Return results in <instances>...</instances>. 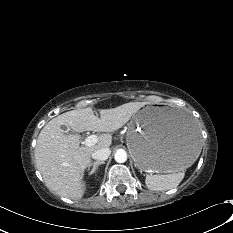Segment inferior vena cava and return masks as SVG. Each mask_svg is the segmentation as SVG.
I'll use <instances>...</instances> for the list:
<instances>
[{
    "instance_id": "obj_1",
    "label": "inferior vena cava",
    "mask_w": 233,
    "mask_h": 233,
    "mask_svg": "<svg viewBox=\"0 0 233 233\" xmlns=\"http://www.w3.org/2000/svg\"><path fill=\"white\" fill-rule=\"evenodd\" d=\"M111 154V150L109 148H100L92 153V158L98 161H105Z\"/></svg>"
}]
</instances>
